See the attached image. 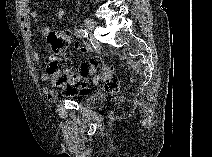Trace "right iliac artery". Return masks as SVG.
I'll return each mask as SVG.
<instances>
[{"label":"right iliac artery","mask_w":212,"mask_h":157,"mask_svg":"<svg viewBox=\"0 0 212 157\" xmlns=\"http://www.w3.org/2000/svg\"><path fill=\"white\" fill-rule=\"evenodd\" d=\"M88 35L87 31L84 29H78L75 31V36L77 38H85Z\"/></svg>","instance_id":"82829eb1"}]
</instances>
